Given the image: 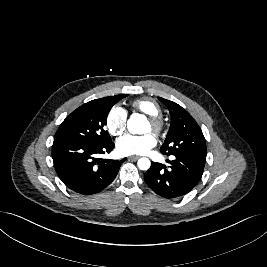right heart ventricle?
I'll list each match as a JSON object with an SVG mask.
<instances>
[{"instance_id": "right-heart-ventricle-1", "label": "right heart ventricle", "mask_w": 267, "mask_h": 267, "mask_svg": "<svg viewBox=\"0 0 267 267\" xmlns=\"http://www.w3.org/2000/svg\"><path fill=\"white\" fill-rule=\"evenodd\" d=\"M131 106L136 111H139L148 117L161 114V108L159 104L151 98L143 97L134 100Z\"/></svg>"}]
</instances>
